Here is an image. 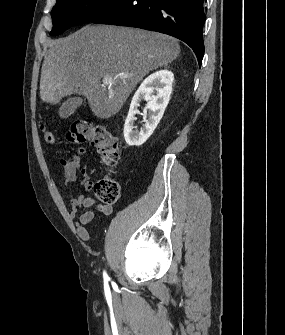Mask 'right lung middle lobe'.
Listing matches in <instances>:
<instances>
[{
  "label": "right lung middle lobe",
  "mask_w": 285,
  "mask_h": 335,
  "mask_svg": "<svg viewBox=\"0 0 285 335\" xmlns=\"http://www.w3.org/2000/svg\"><path fill=\"white\" fill-rule=\"evenodd\" d=\"M120 0H57L52 10L51 36L63 33L71 26L87 23Z\"/></svg>",
  "instance_id": "dd1d6c3e"
}]
</instances>
